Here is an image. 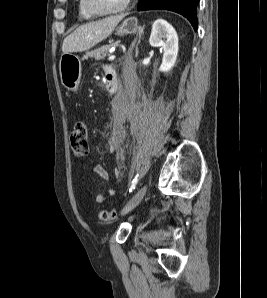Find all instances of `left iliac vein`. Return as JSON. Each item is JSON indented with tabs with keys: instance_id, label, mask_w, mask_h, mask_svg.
<instances>
[{
	"instance_id": "4c4485c4",
	"label": "left iliac vein",
	"mask_w": 267,
	"mask_h": 298,
	"mask_svg": "<svg viewBox=\"0 0 267 298\" xmlns=\"http://www.w3.org/2000/svg\"><path fill=\"white\" fill-rule=\"evenodd\" d=\"M147 191V185L142 186L126 203L124 208L121 211V214L124 215L131 210H133L143 199Z\"/></svg>"
}]
</instances>
